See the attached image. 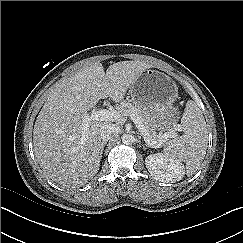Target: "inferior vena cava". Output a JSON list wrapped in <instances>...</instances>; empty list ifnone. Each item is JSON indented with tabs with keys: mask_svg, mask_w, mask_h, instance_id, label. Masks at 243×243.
<instances>
[{
	"mask_svg": "<svg viewBox=\"0 0 243 243\" xmlns=\"http://www.w3.org/2000/svg\"><path fill=\"white\" fill-rule=\"evenodd\" d=\"M120 133V127L116 124H107L101 128L100 139L102 142H107Z\"/></svg>",
	"mask_w": 243,
	"mask_h": 243,
	"instance_id": "602c4592",
	"label": "inferior vena cava"
}]
</instances>
